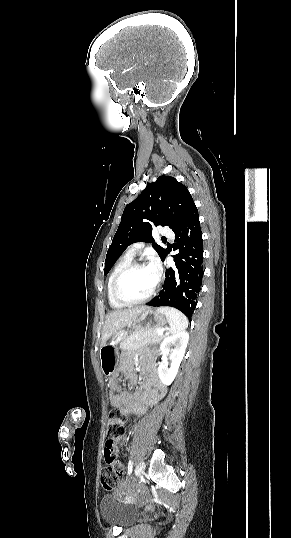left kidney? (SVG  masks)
<instances>
[{"label": "left kidney", "mask_w": 291, "mask_h": 538, "mask_svg": "<svg viewBox=\"0 0 291 538\" xmlns=\"http://www.w3.org/2000/svg\"><path fill=\"white\" fill-rule=\"evenodd\" d=\"M188 340V332L182 331L166 337L161 343L160 351L164 355H169V359L171 360L170 367L168 363H161L158 367L159 378L164 385H170L175 379L180 363L185 355Z\"/></svg>", "instance_id": "1"}]
</instances>
